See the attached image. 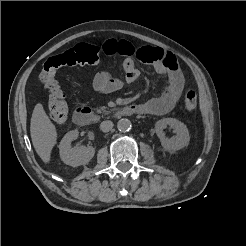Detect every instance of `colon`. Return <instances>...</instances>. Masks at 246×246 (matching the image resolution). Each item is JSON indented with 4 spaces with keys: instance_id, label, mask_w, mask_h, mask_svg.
<instances>
[{
    "instance_id": "obj_1",
    "label": "colon",
    "mask_w": 246,
    "mask_h": 246,
    "mask_svg": "<svg viewBox=\"0 0 246 246\" xmlns=\"http://www.w3.org/2000/svg\"><path fill=\"white\" fill-rule=\"evenodd\" d=\"M98 50L88 44H79L74 48L48 58L42 66L40 80L49 93L51 119L58 124L63 123L68 114L64 94L55 78L56 71L63 66L95 64L98 61ZM184 109L193 112L197 108V95L189 89L184 96Z\"/></svg>"
}]
</instances>
